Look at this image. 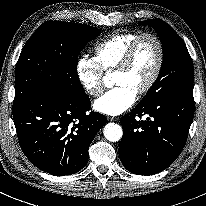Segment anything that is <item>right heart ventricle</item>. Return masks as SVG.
I'll use <instances>...</instances> for the list:
<instances>
[{
  "label": "right heart ventricle",
  "mask_w": 206,
  "mask_h": 206,
  "mask_svg": "<svg viewBox=\"0 0 206 206\" xmlns=\"http://www.w3.org/2000/svg\"><path fill=\"white\" fill-rule=\"evenodd\" d=\"M140 35V32H123L112 35L102 41L95 49L96 59L103 71H112L122 61L130 44Z\"/></svg>",
  "instance_id": "1"
}]
</instances>
